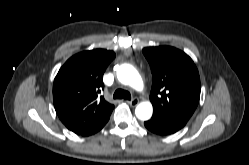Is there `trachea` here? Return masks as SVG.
I'll return each instance as SVG.
<instances>
[{
    "label": "trachea",
    "instance_id": "1",
    "mask_svg": "<svg viewBox=\"0 0 249 165\" xmlns=\"http://www.w3.org/2000/svg\"><path fill=\"white\" fill-rule=\"evenodd\" d=\"M114 99H125V100H130L131 99V94L123 89H118L114 92L113 95Z\"/></svg>",
    "mask_w": 249,
    "mask_h": 165
}]
</instances>
